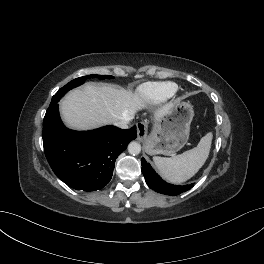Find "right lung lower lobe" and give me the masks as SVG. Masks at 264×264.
<instances>
[{"label":"right lung lower lobe","mask_w":264,"mask_h":264,"mask_svg":"<svg viewBox=\"0 0 264 264\" xmlns=\"http://www.w3.org/2000/svg\"><path fill=\"white\" fill-rule=\"evenodd\" d=\"M57 102L50 104L43 121V146L49 165L73 189H102L112 178L118 155L136 138V126L73 131L61 122Z\"/></svg>","instance_id":"obj_1"}]
</instances>
